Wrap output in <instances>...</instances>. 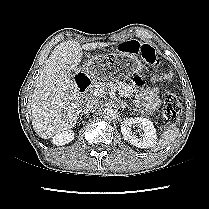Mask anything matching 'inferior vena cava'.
<instances>
[{"label":"inferior vena cava","instance_id":"602c4592","mask_svg":"<svg viewBox=\"0 0 209 209\" xmlns=\"http://www.w3.org/2000/svg\"><path fill=\"white\" fill-rule=\"evenodd\" d=\"M99 107V102L95 98H88L83 103V110L84 113H93L95 112Z\"/></svg>","mask_w":209,"mask_h":209}]
</instances>
